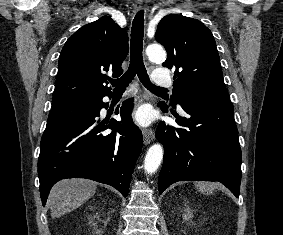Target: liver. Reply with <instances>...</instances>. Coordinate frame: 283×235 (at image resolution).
<instances>
[{
    "label": "liver",
    "instance_id": "liver-1",
    "mask_svg": "<svg viewBox=\"0 0 283 235\" xmlns=\"http://www.w3.org/2000/svg\"><path fill=\"white\" fill-rule=\"evenodd\" d=\"M97 184L86 179H64L56 183L49 194L51 217L58 218L76 209L91 198Z\"/></svg>",
    "mask_w": 283,
    "mask_h": 235
}]
</instances>
